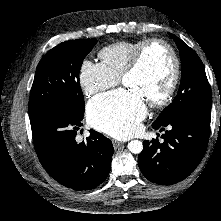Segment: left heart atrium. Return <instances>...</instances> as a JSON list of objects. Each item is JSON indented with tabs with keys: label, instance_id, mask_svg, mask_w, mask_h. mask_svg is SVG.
<instances>
[{
	"label": "left heart atrium",
	"instance_id": "left-heart-atrium-1",
	"mask_svg": "<svg viewBox=\"0 0 221 221\" xmlns=\"http://www.w3.org/2000/svg\"><path fill=\"white\" fill-rule=\"evenodd\" d=\"M145 115V102L130 89L102 94L87 107L91 125L116 139H127L136 134Z\"/></svg>",
	"mask_w": 221,
	"mask_h": 221
}]
</instances>
